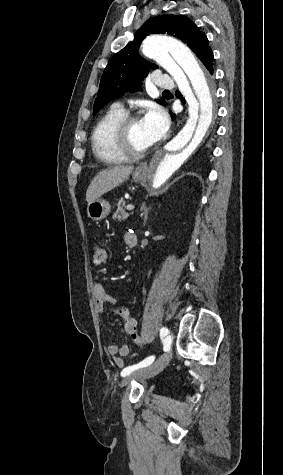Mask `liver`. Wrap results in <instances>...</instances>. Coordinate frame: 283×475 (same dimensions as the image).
<instances>
[{
  "mask_svg": "<svg viewBox=\"0 0 283 475\" xmlns=\"http://www.w3.org/2000/svg\"><path fill=\"white\" fill-rule=\"evenodd\" d=\"M132 170H134V166H112V168L102 170L96 178H93L86 192V202H94L103 194L117 188L119 184H123L125 180H128Z\"/></svg>",
  "mask_w": 283,
  "mask_h": 475,
  "instance_id": "1",
  "label": "liver"
}]
</instances>
